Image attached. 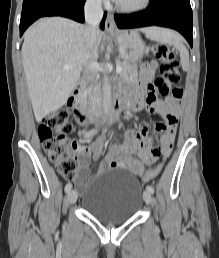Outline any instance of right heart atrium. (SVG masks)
Wrapping results in <instances>:
<instances>
[{"label":"right heart atrium","instance_id":"right-heart-atrium-1","mask_svg":"<svg viewBox=\"0 0 219 258\" xmlns=\"http://www.w3.org/2000/svg\"><path fill=\"white\" fill-rule=\"evenodd\" d=\"M88 2L92 5H101L104 0H88Z\"/></svg>","mask_w":219,"mask_h":258}]
</instances>
